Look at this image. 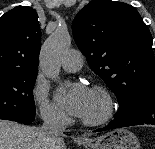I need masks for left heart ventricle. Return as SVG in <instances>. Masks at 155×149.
Wrapping results in <instances>:
<instances>
[{"label": "left heart ventricle", "instance_id": "left-heart-ventricle-1", "mask_svg": "<svg viewBox=\"0 0 155 149\" xmlns=\"http://www.w3.org/2000/svg\"><path fill=\"white\" fill-rule=\"evenodd\" d=\"M103 110L100 98L94 91H90V97L82 114V118L92 119L98 117Z\"/></svg>", "mask_w": 155, "mask_h": 149}]
</instances>
